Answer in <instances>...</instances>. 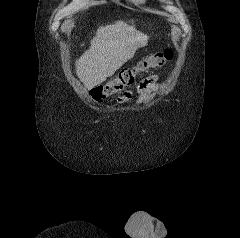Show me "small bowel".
I'll use <instances>...</instances> for the list:
<instances>
[{"label":"small bowel","instance_id":"obj_1","mask_svg":"<svg viewBox=\"0 0 240 238\" xmlns=\"http://www.w3.org/2000/svg\"><path fill=\"white\" fill-rule=\"evenodd\" d=\"M159 77L158 75H152L143 79L136 89V97L133 92L127 91L121 97L118 98L119 103L131 102L134 98L137 101H142L147 98L151 93L155 92L159 88Z\"/></svg>","mask_w":240,"mask_h":238}]
</instances>
